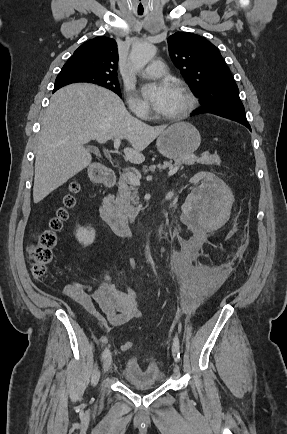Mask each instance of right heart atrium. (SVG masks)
<instances>
[{
    "instance_id": "obj_1",
    "label": "right heart atrium",
    "mask_w": 287,
    "mask_h": 434,
    "mask_svg": "<svg viewBox=\"0 0 287 434\" xmlns=\"http://www.w3.org/2000/svg\"><path fill=\"white\" fill-rule=\"evenodd\" d=\"M128 104L130 109L138 115H146L149 113L147 103L136 96L130 89L128 90Z\"/></svg>"
}]
</instances>
